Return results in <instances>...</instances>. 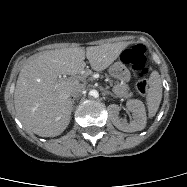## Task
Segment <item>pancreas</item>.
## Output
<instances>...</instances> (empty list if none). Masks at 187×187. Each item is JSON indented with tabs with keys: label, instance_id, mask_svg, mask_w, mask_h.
Here are the masks:
<instances>
[{
	"label": "pancreas",
	"instance_id": "pancreas-1",
	"mask_svg": "<svg viewBox=\"0 0 187 187\" xmlns=\"http://www.w3.org/2000/svg\"><path fill=\"white\" fill-rule=\"evenodd\" d=\"M113 91L118 97L128 98L133 96V93L130 92L128 85H126L125 83L115 85Z\"/></svg>",
	"mask_w": 187,
	"mask_h": 187
}]
</instances>
